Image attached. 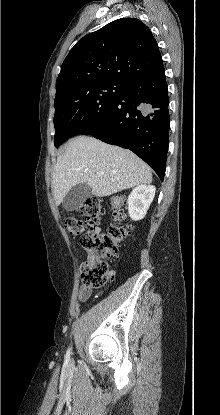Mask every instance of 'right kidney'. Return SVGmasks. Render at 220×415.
I'll return each instance as SVG.
<instances>
[{
	"mask_svg": "<svg viewBox=\"0 0 220 415\" xmlns=\"http://www.w3.org/2000/svg\"><path fill=\"white\" fill-rule=\"evenodd\" d=\"M156 188L152 185H138L128 196V213L132 220L138 221L144 218L153 201Z\"/></svg>",
	"mask_w": 220,
	"mask_h": 415,
	"instance_id": "1",
	"label": "right kidney"
}]
</instances>
